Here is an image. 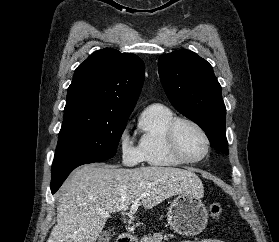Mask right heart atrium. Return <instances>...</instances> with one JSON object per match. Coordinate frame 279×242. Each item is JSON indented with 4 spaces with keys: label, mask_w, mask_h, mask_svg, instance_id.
I'll return each mask as SVG.
<instances>
[{
    "label": "right heart atrium",
    "mask_w": 279,
    "mask_h": 242,
    "mask_svg": "<svg viewBox=\"0 0 279 242\" xmlns=\"http://www.w3.org/2000/svg\"><path fill=\"white\" fill-rule=\"evenodd\" d=\"M118 146L120 157L124 165L135 166L143 161L139 146L134 144L127 131L121 133Z\"/></svg>",
    "instance_id": "d8ad5b80"
}]
</instances>
